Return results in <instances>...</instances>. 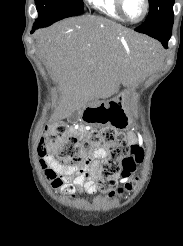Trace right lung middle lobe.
<instances>
[{
    "mask_svg": "<svg viewBox=\"0 0 183 246\" xmlns=\"http://www.w3.org/2000/svg\"><path fill=\"white\" fill-rule=\"evenodd\" d=\"M39 14L35 23H52L66 17L80 15L83 13L82 0H35Z\"/></svg>",
    "mask_w": 183,
    "mask_h": 246,
    "instance_id": "obj_1",
    "label": "right lung middle lobe"
}]
</instances>
